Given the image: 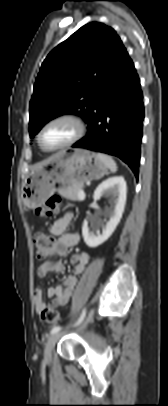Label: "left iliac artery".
Here are the masks:
<instances>
[{
    "label": "left iliac artery",
    "instance_id": "1",
    "mask_svg": "<svg viewBox=\"0 0 168 406\" xmlns=\"http://www.w3.org/2000/svg\"><path fill=\"white\" fill-rule=\"evenodd\" d=\"M85 315H86V311L83 310V312H82L80 318L78 319V321L76 322L75 325H79V324L84 320ZM61 329H62V328H61L60 326H55V327L52 328L51 334L57 333V332H59Z\"/></svg>",
    "mask_w": 168,
    "mask_h": 406
}]
</instances>
